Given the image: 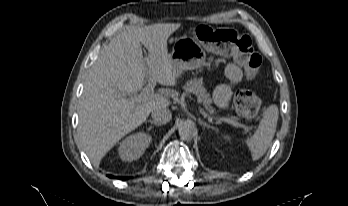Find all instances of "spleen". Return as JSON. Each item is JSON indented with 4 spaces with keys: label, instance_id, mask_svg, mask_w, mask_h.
Here are the masks:
<instances>
[{
    "label": "spleen",
    "instance_id": "3e777b00",
    "mask_svg": "<svg viewBox=\"0 0 348 206\" xmlns=\"http://www.w3.org/2000/svg\"><path fill=\"white\" fill-rule=\"evenodd\" d=\"M277 121L278 108L276 105H271L263 112L253 136L246 140L253 160L259 159L266 153L275 135ZM223 138L227 141L231 139L228 135H224Z\"/></svg>",
    "mask_w": 348,
    "mask_h": 206
}]
</instances>
